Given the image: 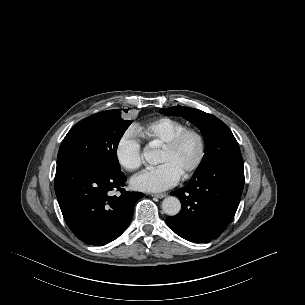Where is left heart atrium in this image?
Listing matches in <instances>:
<instances>
[{"label": "left heart atrium", "instance_id": "obj_1", "mask_svg": "<svg viewBox=\"0 0 305 305\" xmlns=\"http://www.w3.org/2000/svg\"><path fill=\"white\" fill-rule=\"evenodd\" d=\"M182 173L171 163L148 169L131 180L133 188L144 192H162L175 186Z\"/></svg>", "mask_w": 305, "mask_h": 305}]
</instances>
